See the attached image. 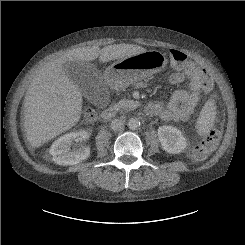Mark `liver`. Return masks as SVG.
<instances>
[{
	"label": "liver",
	"mask_w": 245,
	"mask_h": 245,
	"mask_svg": "<svg viewBox=\"0 0 245 245\" xmlns=\"http://www.w3.org/2000/svg\"><path fill=\"white\" fill-rule=\"evenodd\" d=\"M145 48L133 44H114L102 49L87 46L66 52L45 64L31 81L24 98V128L34 148L69 130L77 124L82 111V93L71 81L65 64L72 61L102 62L123 59Z\"/></svg>",
	"instance_id": "liver-1"
}]
</instances>
